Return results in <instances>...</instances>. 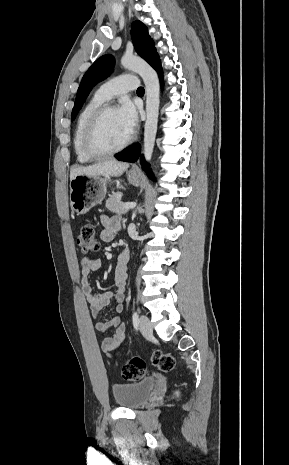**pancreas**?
I'll use <instances>...</instances> for the list:
<instances>
[{
  "mask_svg": "<svg viewBox=\"0 0 289 465\" xmlns=\"http://www.w3.org/2000/svg\"><path fill=\"white\" fill-rule=\"evenodd\" d=\"M121 193H114L106 200V208L113 213L125 214L128 209L123 208V202H121Z\"/></svg>",
  "mask_w": 289,
  "mask_h": 465,
  "instance_id": "cf45deb5",
  "label": "pancreas"
}]
</instances>
